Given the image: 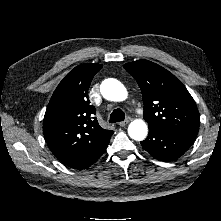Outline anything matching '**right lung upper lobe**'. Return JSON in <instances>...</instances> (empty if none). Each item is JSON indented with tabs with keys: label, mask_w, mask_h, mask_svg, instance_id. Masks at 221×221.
Instances as JSON below:
<instances>
[{
	"label": "right lung upper lobe",
	"mask_w": 221,
	"mask_h": 221,
	"mask_svg": "<svg viewBox=\"0 0 221 221\" xmlns=\"http://www.w3.org/2000/svg\"><path fill=\"white\" fill-rule=\"evenodd\" d=\"M101 64H81L71 70L54 91L43 121L52 153L71 167L106 146L113 134L100 127L87 93Z\"/></svg>",
	"instance_id": "obj_1"
}]
</instances>
